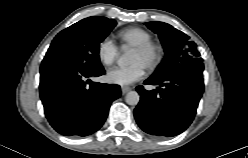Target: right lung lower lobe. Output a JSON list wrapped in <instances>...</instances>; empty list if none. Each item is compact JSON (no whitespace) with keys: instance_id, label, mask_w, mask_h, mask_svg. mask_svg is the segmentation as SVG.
I'll return each mask as SVG.
<instances>
[{"instance_id":"98d812e1","label":"right lung lower lobe","mask_w":248,"mask_h":158,"mask_svg":"<svg viewBox=\"0 0 248 158\" xmlns=\"http://www.w3.org/2000/svg\"><path fill=\"white\" fill-rule=\"evenodd\" d=\"M100 62L45 57L40 67V97L51 126L65 136H87L107 118L120 86L92 82L104 74Z\"/></svg>"}]
</instances>
